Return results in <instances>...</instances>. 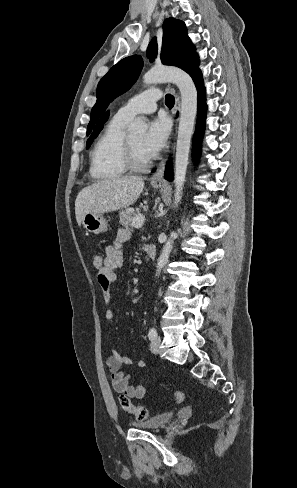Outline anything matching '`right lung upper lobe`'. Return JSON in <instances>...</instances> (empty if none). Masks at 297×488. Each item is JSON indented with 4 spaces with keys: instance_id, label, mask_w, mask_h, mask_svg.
Wrapping results in <instances>:
<instances>
[{
    "instance_id": "cb5924a9",
    "label": "right lung upper lobe",
    "mask_w": 297,
    "mask_h": 488,
    "mask_svg": "<svg viewBox=\"0 0 297 488\" xmlns=\"http://www.w3.org/2000/svg\"><path fill=\"white\" fill-rule=\"evenodd\" d=\"M108 116H109V113H108V112H106V113H105V114L102 116V118L100 119V121L97 123V125H96V127H95V129H94V131H93V133H92V135H91V138H92L93 136H95L99 130H101V128H102V126H103V124H104V123L106 122V120L108 119Z\"/></svg>"
}]
</instances>
